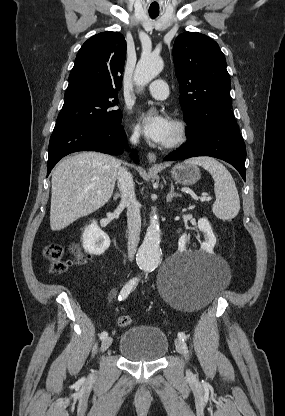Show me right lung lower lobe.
Masks as SVG:
<instances>
[{
  "label": "right lung lower lobe",
  "instance_id": "right-lung-lower-lobe-1",
  "mask_svg": "<svg viewBox=\"0 0 285 416\" xmlns=\"http://www.w3.org/2000/svg\"><path fill=\"white\" fill-rule=\"evenodd\" d=\"M126 134L121 126L104 127L92 125L55 126L49 142L47 176L64 156L76 151H98L119 155L124 151ZM132 159L138 162L136 150Z\"/></svg>",
  "mask_w": 285,
  "mask_h": 416
}]
</instances>
